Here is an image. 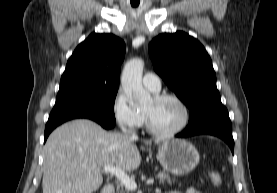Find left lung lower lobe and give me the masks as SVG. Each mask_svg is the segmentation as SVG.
Returning <instances> with one entry per match:
<instances>
[{"instance_id":"0a47b994","label":"left lung lower lobe","mask_w":277,"mask_h":193,"mask_svg":"<svg viewBox=\"0 0 277 193\" xmlns=\"http://www.w3.org/2000/svg\"><path fill=\"white\" fill-rule=\"evenodd\" d=\"M209 134L223 139L234 153L232 126L225 107L213 109L202 114L198 119L188 124V127L176 137L186 138L194 135Z\"/></svg>"}]
</instances>
